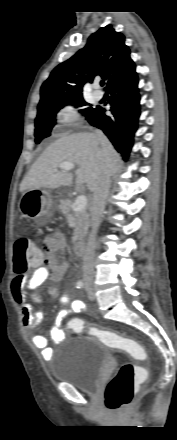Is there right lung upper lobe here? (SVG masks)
I'll list each match as a JSON object with an SVG mask.
<instances>
[{
    "label": "right lung upper lobe",
    "instance_id": "right-lung-upper-lobe-1",
    "mask_svg": "<svg viewBox=\"0 0 177 440\" xmlns=\"http://www.w3.org/2000/svg\"><path fill=\"white\" fill-rule=\"evenodd\" d=\"M134 66L125 36L111 25L92 34L86 46L59 64L41 87L38 106L83 95V86L100 75L110 84ZM88 73L86 77L84 74Z\"/></svg>",
    "mask_w": 177,
    "mask_h": 440
}]
</instances>
